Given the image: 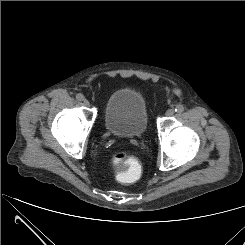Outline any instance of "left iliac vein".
I'll use <instances>...</instances> for the list:
<instances>
[{
  "label": "left iliac vein",
  "instance_id": "obj_1",
  "mask_svg": "<svg viewBox=\"0 0 245 245\" xmlns=\"http://www.w3.org/2000/svg\"><path fill=\"white\" fill-rule=\"evenodd\" d=\"M167 117H171L174 115V109H168L165 113Z\"/></svg>",
  "mask_w": 245,
  "mask_h": 245
}]
</instances>
